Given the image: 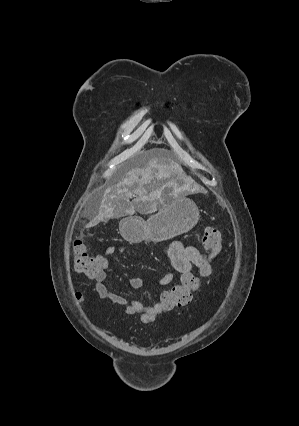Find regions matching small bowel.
Segmentation results:
<instances>
[{
  "instance_id": "obj_1",
  "label": "small bowel",
  "mask_w": 299,
  "mask_h": 426,
  "mask_svg": "<svg viewBox=\"0 0 299 426\" xmlns=\"http://www.w3.org/2000/svg\"><path fill=\"white\" fill-rule=\"evenodd\" d=\"M127 247L108 246L104 250V255L101 256L102 270L94 278L95 291L100 299L106 300L108 304H116L125 308L127 315L141 313L143 323L154 321L156 316L163 313L162 306L158 303L148 304L140 299H127L117 293L108 292L106 288L107 274L106 270L109 266L108 256L116 251L125 252ZM167 255L170 259L175 272L185 274L191 271L193 267L197 269V279L201 284V279L209 277L212 273V268L207 259L199 252L197 248L190 245H184L180 241H173L167 248ZM175 273H167L157 280V284L163 287H170L174 284ZM144 284L142 278L135 277L130 280L132 288H141ZM200 287V286H199ZM199 289V288H198ZM197 289V290H198Z\"/></svg>"
}]
</instances>
